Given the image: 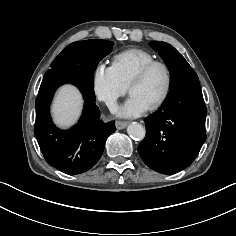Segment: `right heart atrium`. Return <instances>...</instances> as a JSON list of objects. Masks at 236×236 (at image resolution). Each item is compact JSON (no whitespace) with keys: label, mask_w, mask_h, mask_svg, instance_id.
<instances>
[{"label":"right heart atrium","mask_w":236,"mask_h":236,"mask_svg":"<svg viewBox=\"0 0 236 236\" xmlns=\"http://www.w3.org/2000/svg\"><path fill=\"white\" fill-rule=\"evenodd\" d=\"M91 88L95 97L113 109L118 99L127 91L112 65L104 63L95 65L91 72Z\"/></svg>","instance_id":"right-heart-atrium-1"}]
</instances>
